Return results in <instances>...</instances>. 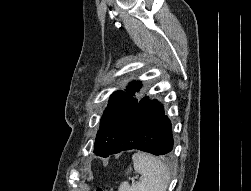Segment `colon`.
Segmentation results:
<instances>
[{
	"label": "colon",
	"mask_w": 251,
	"mask_h": 191,
	"mask_svg": "<svg viewBox=\"0 0 251 191\" xmlns=\"http://www.w3.org/2000/svg\"><path fill=\"white\" fill-rule=\"evenodd\" d=\"M96 191H105V190L102 188H98Z\"/></svg>",
	"instance_id": "obj_1"
}]
</instances>
